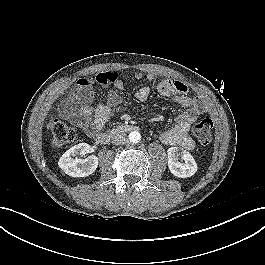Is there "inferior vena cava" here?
Segmentation results:
<instances>
[{"mask_svg":"<svg viewBox=\"0 0 265 265\" xmlns=\"http://www.w3.org/2000/svg\"><path fill=\"white\" fill-rule=\"evenodd\" d=\"M127 141L128 139L125 133H118L112 139V143L114 145H124L127 143Z\"/></svg>","mask_w":265,"mask_h":265,"instance_id":"1","label":"inferior vena cava"}]
</instances>
